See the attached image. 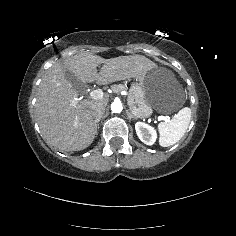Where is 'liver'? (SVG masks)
Here are the masks:
<instances>
[{
    "instance_id": "liver-1",
    "label": "liver",
    "mask_w": 236,
    "mask_h": 236,
    "mask_svg": "<svg viewBox=\"0 0 236 236\" xmlns=\"http://www.w3.org/2000/svg\"><path fill=\"white\" fill-rule=\"evenodd\" d=\"M103 63L97 73V64ZM159 66L141 55L103 60L100 56L81 53L52 64L42 76L38 88L35 113L45 140L61 151H79L88 147L96 133L92 116L95 104L107 105V98L79 100L78 93L64 78L63 68L81 79L99 84L130 77L143 79Z\"/></svg>"
}]
</instances>
